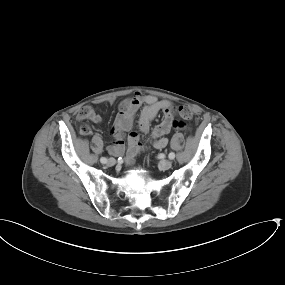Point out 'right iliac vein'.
Instances as JSON below:
<instances>
[{
    "instance_id": "obj_1",
    "label": "right iliac vein",
    "mask_w": 285,
    "mask_h": 285,
    "mask_svg": "<svg viewBox=\"0 0 285 285\" xmlns=\"http://www.w3.org/2000/svg\"><path fill=\"white\" fill-rule=\"evenodd\" d=\"M108 166H113L116 164V160L114 158H110L107 161Z\"/></svg>"
}]
</instances>
